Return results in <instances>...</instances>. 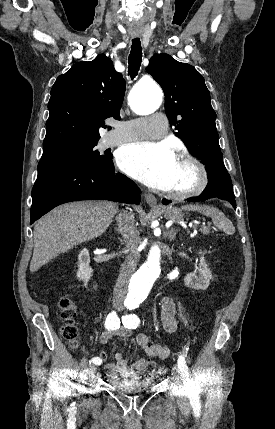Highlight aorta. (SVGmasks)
<instances>
[{"mask_svg":"<svg viewBox=\"0 0 275 429\" xmlns=\"http://www.w3.org/2000/svg\"><path fill=\"white\" fill-rule=\"evenodd\" d=\"M162 97V90L156 83H138L130 93L129 103L135 113L148 115L159 108ZM160 259V248L157 245L152 246L147 261L132 276L130 281V301L133 304H137L148 295L160 273Z\"/></svg>","mask_w":275,"mask_h":429,"instance_id":"1","label":"aorta"}]
</instances>
